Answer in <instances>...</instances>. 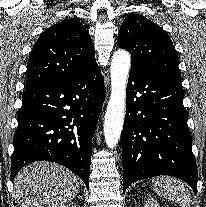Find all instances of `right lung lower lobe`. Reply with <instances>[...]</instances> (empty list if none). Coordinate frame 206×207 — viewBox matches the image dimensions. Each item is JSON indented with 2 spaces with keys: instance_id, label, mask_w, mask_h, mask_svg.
<instances>
[{
  "instance_id": "obj_1",
  "label": "right lung lower lobe",
  "mask_w": 206,
  "mask_h": 207,
  "mask_svg": "<svg viewBox=\"0 0 206 207\" xmlns=\"http://www.w3.org/2000/svg\"><path fill=\"white\" fill-rule=\"evenodd\" d=\"M106 96L99 67L70 80L26 88L18 114L11 181L27 164L59 163L89 186L93 137Z\"/></svg>"
}]
</instances>
